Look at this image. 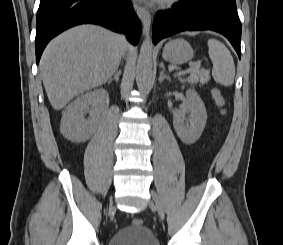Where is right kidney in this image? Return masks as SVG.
I'll return each instance as SVG.
<instances>
[{
	"instance_id": "ca27d5eb",
	"label": "right kidney",
	"mask_w": 283,
	"mask_h": 245,
	"mask_svg": "<svg viewBox=\"0 0 283 245\" xmlns=\"http://www.w3.org/2000/svg\"><path fill=\"white\" fill-rule=\"evenodd\" d=\"M109 105V94L105 89H95L77 97L62 115L60 131L73 142L87 141L95 131V123ZM89 112V118L84 113Z\"/></svg>"
}]
</instances>
